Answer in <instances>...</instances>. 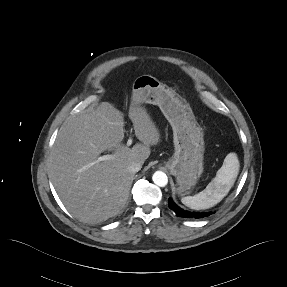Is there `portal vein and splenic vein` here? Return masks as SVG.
Here are the masks:
<instances>
[{"mask_svg":"<svg viewBox=\"0 0 287 287\" xmlns=\"http://www.w3.org/2000/svg\"><path fill=\"white\" fill-rule=\"evenodd\" d=\"M131 144H132V139L129 138L127 141V146H130ZM112 158H113V155H111V154L103 155V156L98 157V161H106V160H110Z\"/></svg>","mask_w":287,"mask_h":287,"instance_id":"18ae733b","label":"portal vein and splenic vein"}]
</instances>
